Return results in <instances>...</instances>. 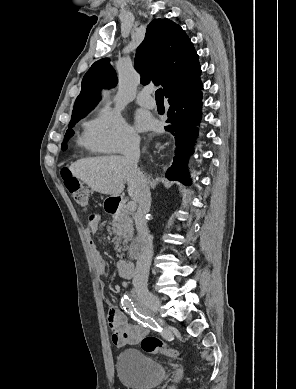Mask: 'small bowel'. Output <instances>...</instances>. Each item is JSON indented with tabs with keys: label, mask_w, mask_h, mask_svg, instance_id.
I'll list each match as a JSON object with an SVG mask.
<instances>
[{
	"label": "small bowel",
	"mask_w": 296,
	"mask_h": 389,
	"mask_svg": "<svg viewBox=\"0 0 296 389\" xmlns=\"http://www.w3.org/2000/svg\"><path fill=\"white\" fill-rule=\"evenodd\" d=\"M101 227V215L94 213L88 220V239L93 251L95 262L100 275H106V268L101 256L96 250L93 236ZM108 325L112 332V341L116 346L134 345L140 342L148 333L146 325L129 323L124 312L116 306H112L108 313Z\"/></svg>",
	"instance_id": "c3829d8e"
}]
</instances>
